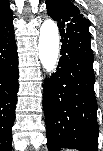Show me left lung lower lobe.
<instances>
[{"label": "left lung lower lobe", "mask_w": 103, "mask_h": 151, "mask_svg": "<svg viewBox=\"0 0 103 151\" xmlns=\"http://www.w3.org/2000/svg\"><path fill=\"white\" fill-rule=\"evenodd\" d=\"M59 31L62 56L56 73L45 80L44 87L48 148L97 151L99 126L91 35L80 25Z\"/></svg>", "instance_id": "obj_1"}]
</instances>
